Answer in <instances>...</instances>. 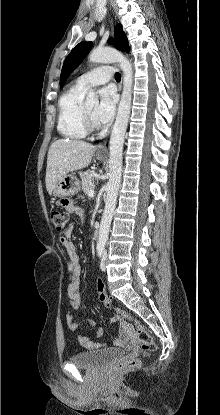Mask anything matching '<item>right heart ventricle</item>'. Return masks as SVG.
I'll return each instance as SVG.
<instances>
[{"label":"right heart ventricle","mask_w":220,"mask_h":415,"mask_svg":"<svg viewBox=\"0 0 220 415\" xmlns=\"http://www.w3.org/2000/svg\"><path fill=\"white\" fill-rule=\"evenodd\" d=\"M84 90L73 86L58 101L57 131L69 139H83L87 135L82 123L81 109Z\"/></svg>","instance_id":"e07e8e85"}]
</instances>
